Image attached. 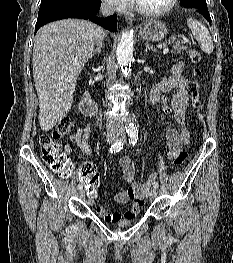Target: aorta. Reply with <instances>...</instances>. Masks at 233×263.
I'll list each match as a JSON object with an SVG mask.
<instances>
[{
  "label": "aorta",
  "mask_w": 233,
  "mask_h": 263,
  "mask_svg": "<svg viewBox=\"0 0 233 263\" xmlns=\"http://www.w3.org/2000/svg\"><path fill=\"white\" fill-rule=\"evenodd\" d=\"M133 32L125 31L122 34L120 42L117 45V61L120 67H122L123 74L128 77L131 75V62L133 60ZM134 123L130 124V130H135Z\"/></svg>",
  "instance_id": "aorta-1"
}]
</instances>
